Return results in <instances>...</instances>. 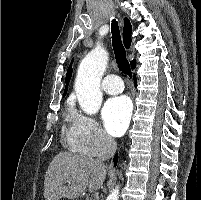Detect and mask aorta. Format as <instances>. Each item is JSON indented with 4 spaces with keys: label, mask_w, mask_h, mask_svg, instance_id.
<instances>
[{
    "label": "aorta",
    "mask_w": 201,
    "mask_h": 200,
    "mask_svg": "<svg viewBox=\"0 0 201 200\" xmlns=\"http://www.w3.org/2000/svg\"><path fill=\"white\" fill-rule=\"evenodd\" d=\"M108 63V54L96 46L81 61L75 82V91L81 109L95 114L102 104L100 82ZM119 187H115L106 200H118Z\"/></svg>",
    "instance_id": "obj_1"
}]
</instances>
